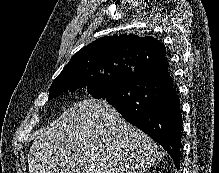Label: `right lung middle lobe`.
I'll list each match as a JSON object with an SVG mask.
<instances>
[{"label": "right lung middle lobe", "instance_id": "dd1d6c3e", "mask_svg": "<svg viewBox=\"0 0 219 173\" xmlns=\"http://www.w3.org/2000/svg\"><path fill=\"white\" fill-rule=\"evenodd\" d=\"M135 67L125 62L99 66L84 73L67 72L54 80L49 90V100L55 96L84 87L94 98H103L113 90L115 85Z\"/></svg>", "mask_w": 219, "mask_h": 173}]
</instances>
